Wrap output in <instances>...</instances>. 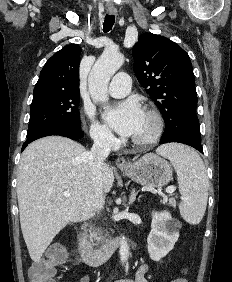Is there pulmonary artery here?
Wrapping results in <instances>:
<instances>
[{
    "label": "pulmonary artery",
    "mask_w": 232,
    "mask_h": 282,
    "mask_svg": "<svg viewBox=\"0 0 232 282\" xmlns=\"http://www.w3.org/2000/svg\"><path fill=\"white\" fill-rule=\"evenodd\" d=\"M131 89V79L126 72L117 73L110 82L108 93L115 98H121L129 94Z\"/></svg>",
    "instance_id": "pulmonary-artery-1"
}]
</instances>
